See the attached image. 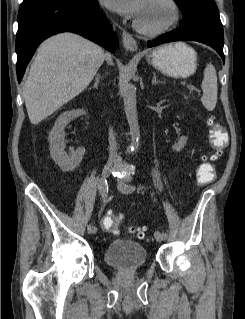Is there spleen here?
<instances>
[{"label":"spleen","mask_w":245,"mask_h":319,"mask_svg":"<svg viewBox=\"0 0 245 319\" xmlns=\"http://www.w3.org/2000/svg\"><path fill=\"white\" fill-rule=\"evenodd\" d=\"M201 88L203 90V96L201 97L202 104L207 110H214L217 103L218 87L216 70L211 63L207 64L204 70Z\"/></svg>","instance_id":"obj_1"}]
</instances>
